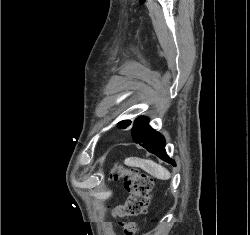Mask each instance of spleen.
Here are the masks:
<instances>
[{
  "label": "spleen",
  "mask_w": 250,
  "mask_h": 235,
  "mask_svg": "<svg viewBox=\"0 0 250 235\" xmlns=\"http://www.w3.org/2000/svg\"><path fill=\"white\" fill-rule=\"evenodd\" d=\"M125 164L128 166L139 167L160 180H168L171 177L170 172L163 166L155 163L152 160H145L140 158H127Z\"/></svg>",
  "instance_id": "1"
}]
</instances>
